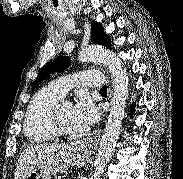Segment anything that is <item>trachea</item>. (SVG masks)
<instances>
[{"label": "trachea", "instance_id": "3493384b", "mask_svg": "<svg viewBox=\"0 0 183 179\" xmlns=\"http://www.w3.org/2000/svg\"><path fill=\"white\" fill-rule=\"evenodd\" d=\"M101 91H107V86L104 85V86L101 88Z\"/></svg>", "mask_w": 183, "mask_h": 179}]
</instances>
